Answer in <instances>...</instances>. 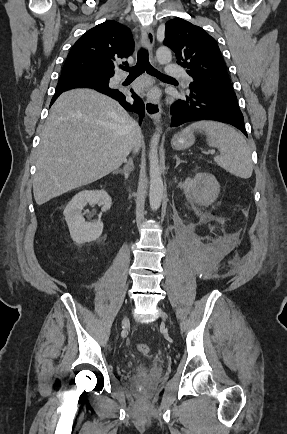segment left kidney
<instances>
[{"label":"left kidney","mask_w":287,"mask_h":434,"mask_svg":"<svg viewBox=\"0 0 287 434\" xmlns=\"http://www.w3.org/2000/svg\"><path fill=\"white\" fill-rule=\"evenodd\" d=\"M184 191L190 200L199 204H209L218 197L220 185L214 175L197 173L193 179H186Z\"/></svg>","instance_id":"obj_1"}]
</instances>
